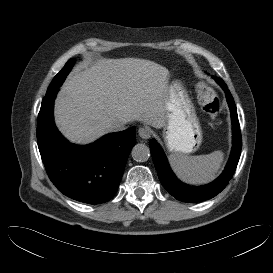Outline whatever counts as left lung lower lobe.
<instances>
[{"label":"left lung lower lobe","instance_id":"1","mask_svg":"<svg viewBox=\"0 0 273 273\" xmlns=\"http://www.w3.org/2000/svg\"><path fill=\"white\" fill-rule=\"evenodd\" d=\"M213 78L218 84H220L226 93L232 119L233 146L229 161L223 173L212 183L204 186L190 187L182 184L170 169L166 156L160 145L155 141V139H151L149 142L152 159L161 184L177 200L187 203L205 201L220 193L231 180L241 154L242 139L236 105L224 81L215 76H213Z\"/></svg>","mask_w":273,"mask_h":273}]
</instances>
